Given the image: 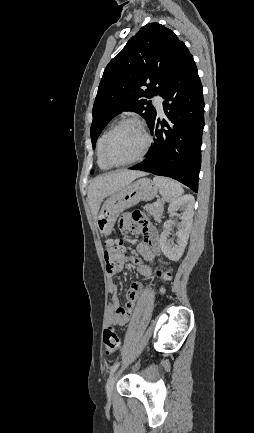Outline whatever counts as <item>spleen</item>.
I'll use <instances>...</instances> for the list:
<instances>
[{"mask_svg": "<svg viewBox=\"0 0 254 433\" xmlns=\"http://www.w3.org/2000/svg\"><path fill=\"white\" fill-rule=\"evenodd\" d=\"M153 181L159 188L163 200L166 202H173L184 193L181 184L173 179L155 176Z\"/></svg>", "mask_w": 254, "mask_h": 433, "instance_id": "3e777b00", "label": "spleen"}]
</instances>
